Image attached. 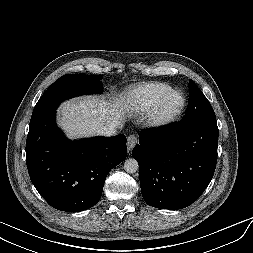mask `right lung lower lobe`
<instances>
[{
	"label": "right lung lower lobe",
	"mask_w": 253,
	"mask_h": 253,
	"mask_svg": "<svg viewBox=\"0 0 253 253\" xmlns=\"http://www.w3.org/2000/svg\"><path fill=\"white\" fill-rule=\"evenodd\" d=\"M51 111L30 123L26 163L30 179L52 207L79 212L94 206L105 179L127 156L126 137H94L71 141Z\"/></svg>",
	"instance_id": "98d812e1"
}]
</instances>
